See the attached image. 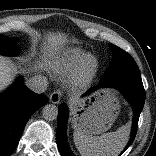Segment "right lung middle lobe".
I'll use <instances>...</instances> for the list:
<instances>
[{
	"label": "right lung middle lobe",
	"mask_w": 156,
	"mask_h": 156,
	"mask_svg": "<svg viewBox=\"0 0 156 156\" xmlns=\"http://www.w3.org/2000/svg\"><path fill=\"white\" fill-rule=\"evenodd\" d=\"M17 38L9 39L0 34V54L2 55H15L18 52L15 43Z\"/></svg>",
	"instance_id": "right-lung-middle-lobe-1"
}]
</instances>
